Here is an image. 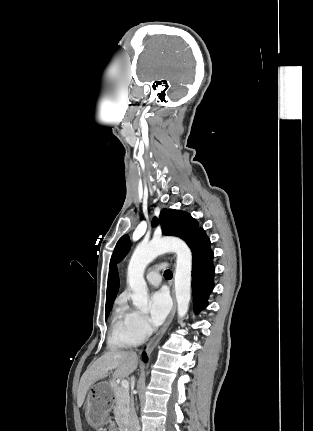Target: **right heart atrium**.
<instances>
[{"label":"right heart atrium","instance_id":"right-heart-atrium-1","mask_svg":"<svg viewBox=\"0 0 313 431\" xmlns=\"http://www.w3.org/2000/svg\"><path fill=\"white\" fill-rule=\"evenodd\" d=\"M131 326L133 332L140 339L145 338L150 333V325L148 323L147 318L139 312H132L131 316Z\"/></svg>","mask_w":313,"mask_h":431}]
</instances>
